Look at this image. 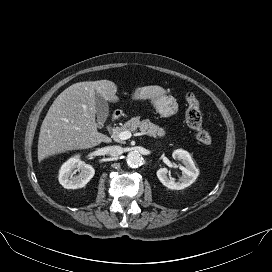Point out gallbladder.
I'll list each match as a JSON object with an SVG mask.
<instances>
[{
	"label": "gallbladder",
	"instance_id": "gallbladder-1",
	"mask_svg": "<svg viewBox=\"0 0 272 272\" xmlns=\"http://www.w3.org/2000/svg\"><path fill=\"white\" fill-rule=\"evenodd\" d=\"M95 101L97 111V126L101 128L109 115V105L108 102L98 93H95Z\"/></svg>",
	"mask_w": 272,
	"mask_h": 272
}]
</instances>
